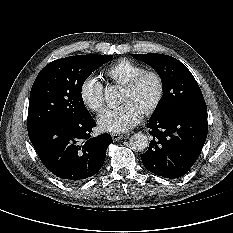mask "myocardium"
Here are the masks:
<instances>
[{
    "label": "myocardium",
    "instance_id": "myocardium-1",
    "mask_svg": "<svg viewBox=\"0 0 233 233\" xmlns=\"http://www.w3.org/2000/svg\"><path fill=\"white\" fill-rule=\"evenodd\" d=\"M148 78L153 79L157 85V91L154 99L151 103L145 108L143 114L145 116H150L153 114L158 106L160 105L164 94H165V82L161 74L152 70H144L137 75H135L132 79L128 81V83L124 86L125 90L134 91L138 89V87Z\"/></svg>",
    "mask_w": 233,
    "mask_h": 233
}]
</instances>
